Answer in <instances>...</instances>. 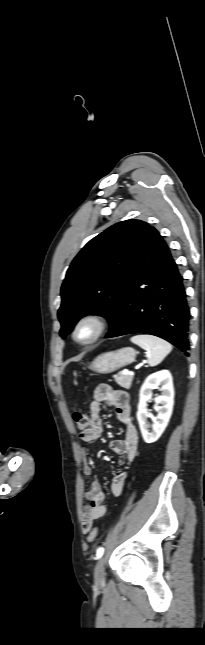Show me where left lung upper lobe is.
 Instances as JSON below:
<instances>
[{"label":"left lung upper lobe","instance_id":"1","mask_svg":"<svg viewBox=\"0 0 205 645\" xmlns=\"http://www.w3.org/2000/svg\"><path fill=\"white\" fill-rule=\"evenodd\" d=\"M149 227L140 220L119 222L90 240L74 258L61 287L62 338L87 314L108 319L107 336L117 329L128 275Z\"/></svg>","mask_w":205,"mask_h":645}]
</instances>
